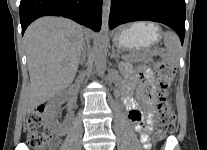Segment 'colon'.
<instances>
[{
    "label": "colon",
    "mask_w": 207,
    "mask_h": 150,
    "mask_svg": "<svg viewBox=\"0 0 207 150\" xmlns=\"http://www.w3.org/2000/svg\"><path fill=\"white\" fill-rule=\"evenodd\" d=\"M153 64L158 73L156 93V123L155 139L157 141L174 132L175 116L167 99V88L174 76V67L161 52L153 56ZM27 140L34 150H52L55 140L43 121V110L35 109L27 118L25 124Z\"/></svg>",
    "instance_id": "5ec220e1"
}]
</instances>
